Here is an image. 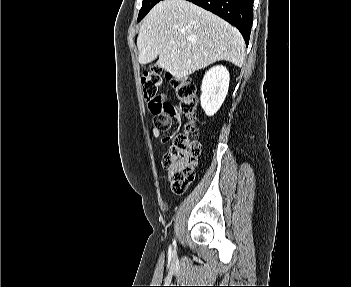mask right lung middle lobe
Instances as JSON below:
<instances>
[{"instance_id": "obj_1", "label": "right lung middle lobe", "mask_w": 351, "mask_h": 287, "mask_svg": "<svg viewBox=\"0 0 351 287\" xmlns=\"http://www.w3.org/2000/svg\"><path fill=\"white\" fill-rule=\"evenodd\" d=\"M159 1L160 0H143L142 7L138 15V21L142 20Z\"/></svg>"}]
</instances>
